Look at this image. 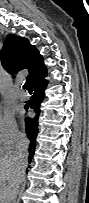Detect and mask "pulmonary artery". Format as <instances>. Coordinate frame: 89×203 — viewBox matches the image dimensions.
I'll list each match as a JSON object with an SVG mask.
<instances>
[{
    "instance_id": "obj_1",
    "label": "pulmonary artery",
    "mask_w": 89,
    "mask_h": 203,
    "mask_svg": "<svg viewBox=\"0 0 89 203\" xmlns=\"http://www.w3.org/2000/svg\"><path fill=\"white\" fill-rule=\"evenodd\" d=\"M17 98L20 101H26L28 99V94L26 92H23V91H18Z\"/></svg>"
}]
</instances>
